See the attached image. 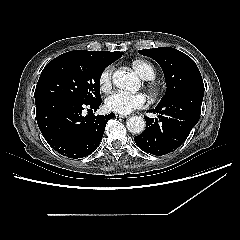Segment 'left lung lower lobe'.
<instances>
[{
  "label": "left lung lower lobe",
  "mask_w": 240,
  "mask_h": 240,
  "mask_svg": "<svg viewBox=\"0 0 240 240\" xmlns=\"http://www.w3.org/2000/svg\"><path fill=\"white\" fill-rule=\"evenodd\" d=\"M203 95L204 88L196 87L157 105L150 112L159 119L145 118V131L134 138L137 146L157 156L176 150L199 121Z\"/></svg>",
  "instance_id": "left-lung-lower-lobe-1"
}]
</instances>
